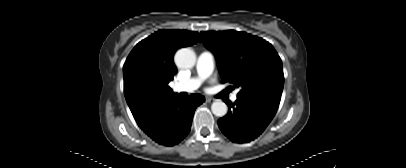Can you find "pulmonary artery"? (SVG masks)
Here are the masks:
<instances>
[{"instance_id":"pulmonary-artery-1","label":"pulmonary artery","mask_w":406,"mask_h":168,"mask_svg":"<svg viewBox=\"0 0 406 168\" xmlns=\"http://www.w3.org/2000/svg\"><path fill=\"white\" fill-rule=\"evenodd\" d=\"M215 67L214 55L209 51H203L199 54L196 65V76L191 77L185 81L178 82L173 85V91L180 92H193L197 90L202 82L211 75ZM231 99L235 101L237 94L234 93Z\"/></svg>"}]
</instances>
